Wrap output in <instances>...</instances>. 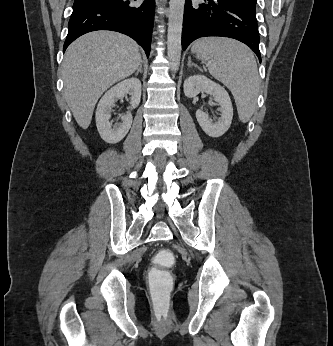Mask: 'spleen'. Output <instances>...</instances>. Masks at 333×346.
Segmentation results:
<instances>
[{
  "label": "spleen",
  "mask_w": 333,
  "mask_h": 346,
  "mask_svg": "<svg viewBox=\"0 0 333 346\" xmlns=\"http://www.w3.org/2000/svg\"><path fill=\"white\" fill-rule=\"evenodd\" d=\"M191 51L206 61L209 73L232 93L241 122L252 117L259 93L260 78L252 51L244 44L224 37L198 39Z\"/></svg>",
  "instance_id": "1"
}]
</instances>
